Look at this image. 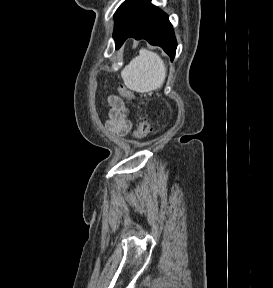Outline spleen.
Instances as JSON below:
<instances>
[{"label": "spleen", "mask_w": 273, "mask_h": 288, "mask_svg": "<svg viewBox=\"0 0 273 288\" xmlns=\"http://www.w3.org/2000/svg\"><path fill=\"white\" fill-rule=\"evenodd\" d=\"M166 71L165 64L157 53L140 49L139 55L122 70L121 76L128 89L148 93L162 87Z\"/></svg>", "instance_id": "obj_1"}]
</instances>
